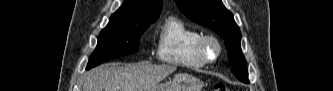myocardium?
<instances>
[{"instance_id":"myocardium-1","label":"myocardium","mask_w":333,"mask_h":91,"mask_svg":"<svg viewBox=\"0 0 333 91\" xmlns=\"http://www.w3.org/2000/svg\"><path fill=\"white\" fill-rule=\"evenodd\" d=\"M213 46L215 48L214 55L209 53L210 47ZM197 51L199 57L206 63H214L216 62L221 54H222V45L220 40L211 34H204L200 37L197 45Z\"/></svg>"}]
</instances>
